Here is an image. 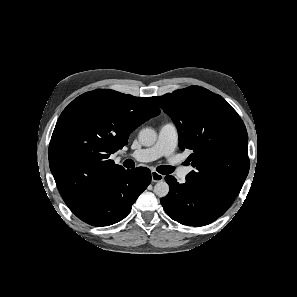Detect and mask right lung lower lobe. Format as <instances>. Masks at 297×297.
I'll use <instances>...</instances> for the list:
<instances>
[{
    "label": "right lung lower lobe",
    "instance_id": "right-lung-lower-lobe-1",
    "mask_svg": "<svg viewBox=\"0 0 297 297\" xmlns=\"http://www.w3.org/2000/svg\"><path fill=\"white\" fill-rule=\"evenodd\" d=\"M151 182L148 168L137 167L121 172L99 189L86 205L74 214L93 226H108L124 219L132 204Z\"/></svg>",
    "mask_w": 297,
    "mask_h": 297
}]
</instances>
